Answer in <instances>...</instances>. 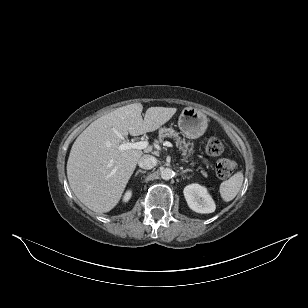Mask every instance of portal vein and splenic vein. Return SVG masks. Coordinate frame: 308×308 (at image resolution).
I'll return each instance as SVG.
<instances>
[{"mask_svg":"<svg viewBox=\"0 0 308 308\" xmlns=\"http://www.w3.org/2000/svg\"><path fill=\"white\" fill-rule=\"evenodd\" d=\"M116 134L118 137L124 140L121 133L116 132ZM164 145L167 147L173 148V144L168 141L164 142ZM148 148H149V145L147 141L129 142V141L124 140L123 143L118 146V149L120 151H124L128 149H140L141 150V149H148Z\"/></svg>","mask_w":308,"mask_h":308,"instance_id":"18ae733b","label":"portal vein and splenic vein"}]
</instances>
